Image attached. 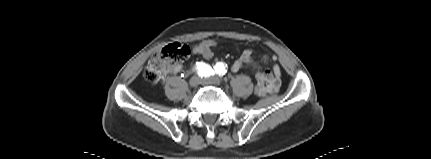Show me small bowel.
I'll return each mask as SVG.
<instances>
[{
    "label": "small bowel",
    "instance_id": "c3829d8e",
    "mask_svg": "<svg viewBox=\"0 0 431 159\" xmlns=\"http://www.w3.org/2000/svg\"><path fill=\"white\" fill-rule=\"evenodd\" d=\"M200 46L215 48L216 41L209 39L201 43L195 44L192 47V53L197 54L196 53L197 47H200ZM202 56L206 59H210L213 57L209 55L208 56L202 55ZM266 59L267 58L265 57V60ZM245 65H256L252 58L251 49H245L240 55V57L232 64L231 68L233 72H238L241 69H243ZM181 68H182L181 64H175L169 69V72L177 73L181 70ZM254 76L256 79V83L259 84V88H260L259 96H266L268 94L275 93L279 90L281 85V69L278 65H274L270 70L256 71L254 73Z\"/></svg>",
    "mask_w": 431,
    "mask_h": 159
}]
</instances>
